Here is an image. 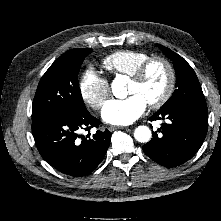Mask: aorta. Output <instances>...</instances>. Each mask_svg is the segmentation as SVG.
<instances>
[{
	"label": "aorta",
	"mask_w": 221,
	"mask_h": 221,
	"mask_svg": "<svg viewBox=\"0 0 221 221\" xmlns=\"http://www.w3.org/2000/svg\"><path fill=\"white\" fill-rule=\"evenodd\" d=\"M126 80L124 76H117L112 84V93L117 98L126 96L127 90L125 88ZM151 130L147 126H138L134 131V137L138 142L145 143L151 139Z\"/></svg>",
	"instance_id": "aorta-1"
}]
</instances>
